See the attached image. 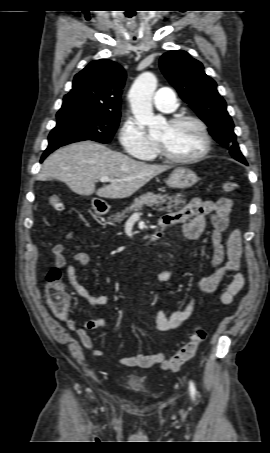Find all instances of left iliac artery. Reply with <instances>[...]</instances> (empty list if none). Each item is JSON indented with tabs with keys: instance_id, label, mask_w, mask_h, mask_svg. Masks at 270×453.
<instances>
[{
	"instance_id": "left-iliac-artery-1",
	"label": "left iliac artery",
	"mask_w": 270,
	"mask_h": 453,
	"mask_svg": "<svg viewBox=\"0 0 270 453\" xmlns=\"http://www.w3.org/2000/svg\"><path fill=\"white\" fill-rule=\"evenodd\" d=\"M189 389H190V393H191L192 398L195 399L196 388H195L193 382H190Z\"/></svg>"
}]
</instances>
